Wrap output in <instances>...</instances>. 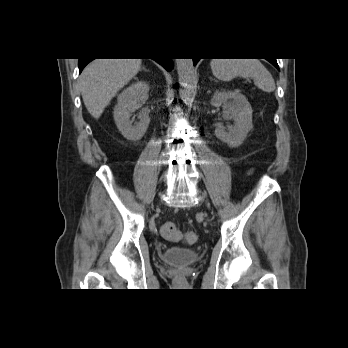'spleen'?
<instances>
[{
    "label": "spleen",
    "instance_id": "spleen-1",
    "mask_svg": "<svg viewBox=\"0 0 348 348\" xmlns=\"http://www.w3.org/2000/svg\"><path fill=\"white\" fill-rule=\"evenodd\" d=\"M213 75L220 81L229 82L237 76L252 78L254 84L264 92L275 90V81L271 73L258 59H213Z\"/></svg>",
    "mask_w": 348,
    "mask_h": 348
}]
</instances>
